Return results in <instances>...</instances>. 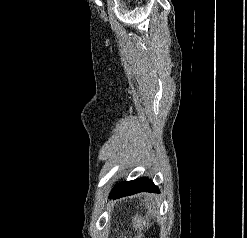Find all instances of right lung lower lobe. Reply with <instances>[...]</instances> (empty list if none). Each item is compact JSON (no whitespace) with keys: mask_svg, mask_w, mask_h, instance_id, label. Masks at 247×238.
I'll return each instance as SVG.
<instances>
[{"mask_svg":"<svg viewBox=\"0 0 247 238\" xmlns=\"http://www.w3.org/2000/svg\"><path fill=\"white\" fill-rule=\"evenodd\" d=\"M139 192H158V188L147 177H142L133 181L120 183L111 192L110 198L116 199Z\"/></svg>","mask_w":247,"mask_h":238,"instance_id":"1","label":"right lung lower lobe"}]
</instances>
